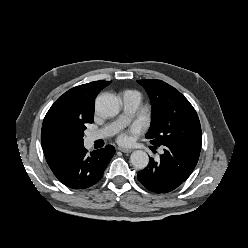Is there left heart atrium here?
<instances>
[{
  "mask_svg": "<svg viewBox=\"0 0 248 248\" xmlns=\"http://www.w3.org/2000/svg\"><path fill=\"white\" fill-rule=\"evenodd\" d=\"M139 133V128L138 127H133L131 130L122 132L118 136V142L120 144L126 145L131 142V139L133 136L137 135Z\"/></svg>",
  "mask_w": 248,
  "mask_h": 248,
  "instance_id": "left-heart-atrium-1",
  "label": "left heart atrium"
}]
</instances>
